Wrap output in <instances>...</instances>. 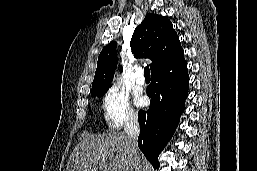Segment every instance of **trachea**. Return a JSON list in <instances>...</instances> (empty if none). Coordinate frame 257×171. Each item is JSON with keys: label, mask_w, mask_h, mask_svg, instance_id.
I'll return each instance as SVG.
<instances>
[{"label": "trachea", "mask_w": 257, "mask_h": 171, "mask_svg": "<svg viewBox=\"0 0 257 171\" xmlns=\"http://www.w3.org/2000/svg\"><path fill=\"white\" fill-rule=\"evenodd\" d=\"M144 76L145 77H150V69H149L148 66L144 68Z\"/></svg>", "instance_id": "trachea-1"}]
</instances>
